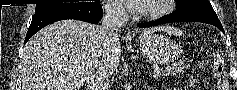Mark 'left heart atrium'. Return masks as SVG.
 Instances as JSON below:
<instances>
[{"label":"left heart atrium","instance_id":"39dd6f15","mask_svg":"<svg viewBox=\"0 0 237 90\" xmlns=\"http://www.w3.org/2000/svg\"><path fill=\"white\" fill-rule=\"evenodd\" d=\"M121 7H126L127 10H132L136 3H150L151 0H116Z\"/></svg>","mask_w":237,"mask_h":90}]
</instances>
